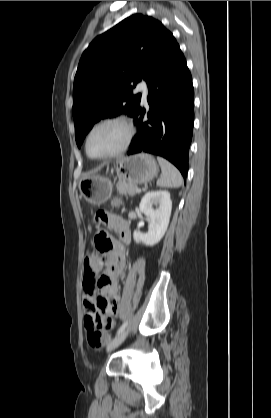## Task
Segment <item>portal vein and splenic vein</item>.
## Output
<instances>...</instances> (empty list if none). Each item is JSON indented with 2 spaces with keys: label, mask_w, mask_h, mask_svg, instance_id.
<instances>
[{
  "label": "portal vein and splenic vein",
  "mask_w": 271,
  "mask_h": 418,
  "mask_svg": "<svg viewBox=\"0 0 271 418\" xmlns=\"http://www.w3.org/2000/svg\"><path fill=\"white\" fill-rule=\"evenodd\" d=\"M136 192H137V193H140V192H141V189H140V188H137V189H136Z\"/></svg>",
  "instance_id": "portal-vein-and-splenic-vein-1"
}]
</instances>
